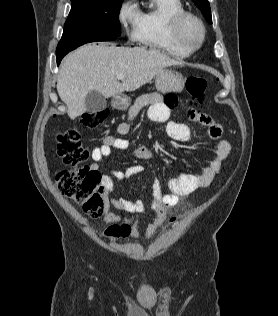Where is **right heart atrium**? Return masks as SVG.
<instances>
[{"label":"right heart atrium","mask_w":278,"mask_h":316,"mask_svg":"<svg viewBox=\"0 0 278 316\" xmlns=\"http://www.w3.org/2000/svg\"><path fill=\"white\" fill-rule=\"evenodd\" d=\"M117 18L126 37L135 41L140 22V10L135 0H123L119 6Z\"/></svg>","instance_id":"1"}]
</instances>
